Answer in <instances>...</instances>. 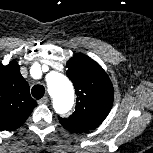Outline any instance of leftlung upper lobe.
Listing matches in <instances>:
<instances>
[{"label": "left lung upper lobe", "mask_w": 153, "mask_h": 153, "mask_svg": "<svg viewBox=\"0 0 153 153\" xmlns=\"http://www.w3.org/2000/svg\"><path fill=\"white\" fill-rule=\"evenodd\" d=\"M67 67L77 95L76 107L68 118H58L68 131L87 132L98 127L109 114L114 96L112 83L101 66L85 54H75Z\"/></svg>", "instance_id": "obj_1"}]
</instances>
